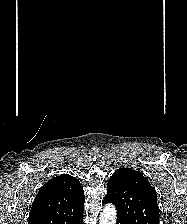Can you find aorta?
I'll list each match as a JSON object with an SVG mask.
<instances>
[{"label":"aorta","mask_w":187,"mask_h":224,"mask_svg":"<svg viewBox=\"0 0 187 224\" xmlns=\"http://www.w3.org/2000/svg\"><path fill=\"white\" fill-rule=\"evenodd\" d=\"M117 211L114 205L107 204L100 214L99 224H116Z\"/></svg>","instance_id":"762f6f07"}]
</instances>
